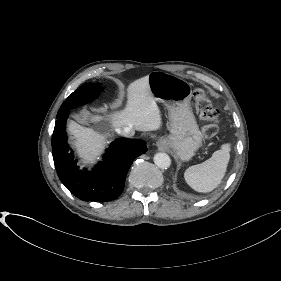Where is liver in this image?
<instances>
[{"instance_id": "liver-1", "label": "liver", "mask_w": 281, "mask_h": 281, "mask_svg": "<svg viewBox=\"0 0 281 281\" xmlns=\"http://www.w3.org/2000/svg\"><path fill=\"white\" fill-rule=\"evenodd\" d=\"M100 119L99 116H91L92 121ZM111 123L115 128L129 127L133 131L146 132L160 129L162 125L161 114L150 91L148 76L129 84L126 107L113 115ZM68 130L74 136L73 144L85 164L93 163L99 158L106 144L104 135L74 121L69 122Z\"/></svg>"}]
</instances>
